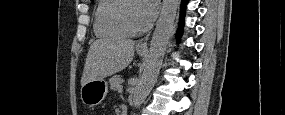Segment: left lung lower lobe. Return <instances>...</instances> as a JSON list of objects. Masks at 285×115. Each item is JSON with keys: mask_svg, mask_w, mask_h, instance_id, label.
Here are the masks:
<instances>
[{"mask_svg": "<svg viewBox=\"0 0 285 115\" xmlns=\"http://www.w3.org/2000/svg\"><path fill=\"white\" fill-rule=\"evenodd\" d=\"M187 3V0H182L181 2V12H180V21H179V27L177 30V38L179 39L182 35V28H183V24H184V16H185V5Z\"/></svg>", "mask_w": 285, "mask_h": 115, "instance_id": "0a47b994", "label": "left lung lower lobe"}]
</instances>
